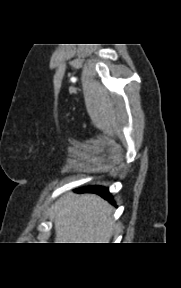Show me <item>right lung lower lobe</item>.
<instances>
[{
    "mask_svg": "<svg viewBox=\"0 0 181 288\" xmlns=\"http://www.w3.org/2000/svg\"><path fill=\"white\" fill-rule=\"evenodd\" d=\"M79 192H88V193H96L99 194L101 197L104 199L110 201L111 203H114L112 200V196L109 193L108 188L103 187V186H89V187H84L79 190Z\"/></svg>",
    "mask_w": 181,
    "mask_h": 288,
    "instance_id": "1",
    "label": "right lung lower lobe"
}]
</instances>
